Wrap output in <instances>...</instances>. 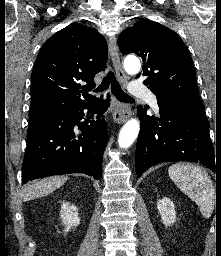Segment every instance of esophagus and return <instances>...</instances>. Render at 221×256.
Masks as SVG:
<instances>
[{
  "instance_id": "1",
  "label": "esophagus",
  "mask_w": 221,
  "mask_h": 256,
  "mask_svg": "<svg viewBox=\"0 0 221 256\" xmlns=\"http://www.w3.org/2000/svg\"><path fill=\"white\" fill-rule=\"evenodd\" d=\"M108 45L111 54V59L117 73V77L123 84H125L127 81V77L121 66L116 38L114 36L109 38ZM131 114L132 113L130 106H128L127 104H122L117 101H114L112 115L115 123L120 124L125 122L131 116Z\"/></svg>"
}]
</instances>
